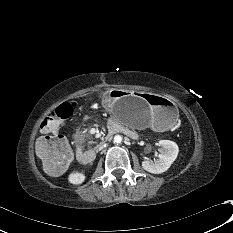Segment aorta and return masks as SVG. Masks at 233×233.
Masks as SVG:
<instances>
[{"instance_id":"1","label":"aorta","mask_w":233,"mask_h":233,"mask_svg":"<svg viewBox=\"0 0 233 233\" xmlns=\"http://www.w3.org/2000/svg\"><path fill=\"white\" fill-rule=\"evenodd\" d=\"M121 142H122V137H121L120 135H116V136L114 137V143L119 144V143H121Z\"/></svg>"}]
</instances>
